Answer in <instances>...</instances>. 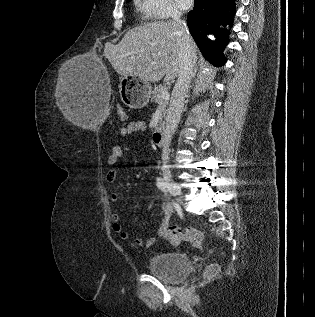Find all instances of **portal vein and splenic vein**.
<instances>
[{
    "label": "portal vein and splenic vein",
    "mask_w": 315,
    "mask_h": 317,
    "mask_svg": "<svg viewBox=\"0 0 315 317\" xmlns=\"http://www.w3.org/2000/svg\"><path fill=\"white\" fill-rule=\"evenodd\" d=\"M162 98H163V99H169V92H168L167 90H164V91L162 92Z\"/></svg>",
    "instance_id": "obj_1"
}]
</instances>
